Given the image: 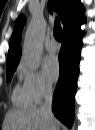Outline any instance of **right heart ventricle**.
<instances>
[{
	"label": "right heart ventricle",
	"instance_id": "right-heart-ventricle-1",
	"mask_svg": "<svg viewBox=\"0 0 95 130\" xmlns=\"http://www.w3.org/2000/svg\"><path fill=\"white\" fill-rule=\"evenodd\" d=\"M12 100L19 107H30L34 104L24 85H16L13 90Z\"/></svg>",
	"mask_w": 95,
	"mask_h": 130
}]
</instances>
